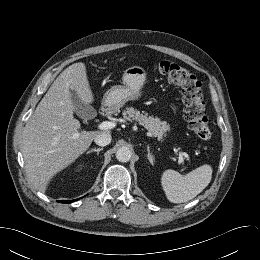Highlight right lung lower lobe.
<instances>
[{"label": "right lung lower lobe", "mask_w": 260, "mask_h": 260, "mask_svg": "<svg viewBox=\"0 0 260 260\" xmlns=\"http://www.w3.org/2000/svg\"><path fill=\"white\" fill-rule=\"evenodd\" d=\"M73 201H75V200H68V201H59V202H61V203H71V202H73Z\"/></svg>", "instance_id": "1"}]
</instances>
